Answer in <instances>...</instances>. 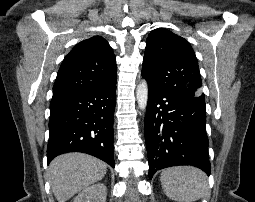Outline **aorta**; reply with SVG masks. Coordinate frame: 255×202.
<instances>
[{
  "label": "aorta",
  "mask_w": 255,
  "mask_h": 202,
  "mask_svg": "<svg viewBox=\"0 0 255 202\" xmlns=\"http://www.w3.org/2000/svg\"><path fill=\"white\" fill-rule=\"evenodd\" d=\"M136 98L138 106L142 111L146 110L148 102V84L146 80H142L136 89Z\"/></svg>",
  "instance_id": "obj_1"
}]
</instances>
